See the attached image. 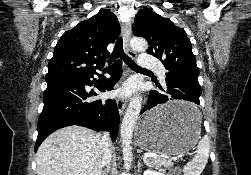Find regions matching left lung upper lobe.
<instances>
[{
	"label": "left lung upper lobe",
	"mask_w": 251,
	"mask_h": 175,
	"mask_svg": "<svg viewBox=\"0 0 251 175\" xmlns=\"http://www.w3.org/2000/svg\"><path fill=\"white\" fill-rule=\"evenodd\" d=\"M134 35L144 37L150 47L147 53L162 60L168 73H182L198 78L199 69L184 29L167 18L142 9L135 17ZM166 73V74H168Z\"/></svg>",
	"instance_id": "5c2ea615"
}]
</instances>
